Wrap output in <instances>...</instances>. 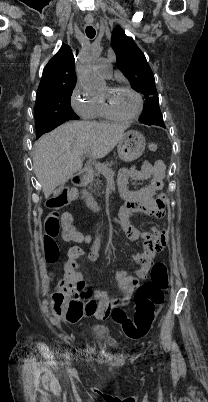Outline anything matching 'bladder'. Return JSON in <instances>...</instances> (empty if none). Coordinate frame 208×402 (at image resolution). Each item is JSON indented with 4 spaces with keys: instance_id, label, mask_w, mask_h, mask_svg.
<instances>
[{
    "instance_id": "1",
    "label": "bladder",
    "mask_w": 208,
    "mask_h": 402,
    "mask_svg": "<svg viewBox=\"0 0 208 402\" xmlns=\"http://www.w3.org/2000/svg\"><path fill=\"white\" fill-rule=\"evenodd\" d=\"M104 332H105V327L104 326H94L92 328V334L95 337L99 338V340H101L102 342H105ZM105 345L108 346L109 344L105 343Z\"/></svg>"
}]
</instances>
